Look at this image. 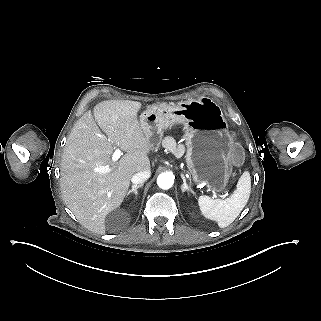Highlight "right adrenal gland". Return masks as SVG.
I'll return each instance as SVG.
<instances>
[{
	"instance_id": "obj_1",
	"label": "right adrenal gland",
	"mask_w": 321,
	"mask_h": 321,
	"mask_svg": "<svg viewBox=\"0 0 321 321\" xmlns=\"http://www.w3.org/2000/svg\"><path fill=\"white\" fill-rule=\"evenodd\" d=\"M142 186H143V184L133 185V186H132V189L127 192L126 197H128L130 193H134V194L137 196V195H138L137 190H138L139 188H141Z\"/></svg>"
}]
</instances>
